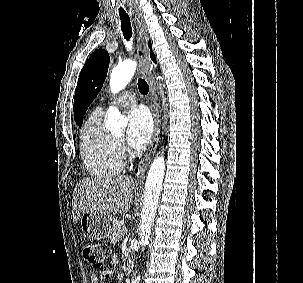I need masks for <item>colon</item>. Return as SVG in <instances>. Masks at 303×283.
<instances>
[{
	"instance_id": "colon-1",
	"label": "colon",
	"mask_w": 303,
	"mask_h": 283,
	"mask_svg": "<svg viewBox=\"0 0 303 283\" xmlns=\"http://www.w3.org/2000/svg\"><path fill=\"white\" fill-rule=\"evenodd\" d=\"M109 255L110 248L105 243L89 241L82 246V256L92 268H100Z\"/></svg>"
}]
</instances>
